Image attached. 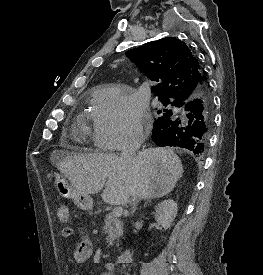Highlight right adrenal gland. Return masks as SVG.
Returning a JSON list of instances; mask_svg holds the SVG:
<instances>
[{
	"label": "right adrenal gland",
	"mask_w": 263,
	"mask_h": 275,
	"mask_svg": "<svg viewBox=\"0 0 263 275\" xmlns=\"http://www.w3.org/2000/svg\"><path fill=\"white\" fill-rule=\"evenodd\" d=\"M148 202H151V200H148L147 202H145V205H144V206H146Z\"/></svg>",
	"instance_id": "right-adrenal-gland-1"
}]
</instances>
